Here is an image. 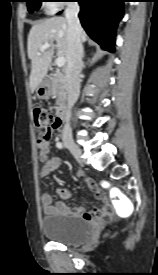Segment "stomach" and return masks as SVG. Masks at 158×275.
Here are the masks:
<instances>
[{
  "label": "stomach",
  "instance_id": "obj_1",
  "mask_svg": "<svg viewBox=\"0 0 158 275\" xmlns=\"http://www.w3.org/2000/svg\"><path fill=\"white\" fill-rule=\"evenodd\" d=\"M36 95L39 99H48L51 96V83L48 79L39 84L36 88Z\"/></svg>",
  "mask_w": 158,
  "mask_h": 275
}]
</instances>
